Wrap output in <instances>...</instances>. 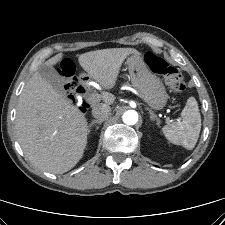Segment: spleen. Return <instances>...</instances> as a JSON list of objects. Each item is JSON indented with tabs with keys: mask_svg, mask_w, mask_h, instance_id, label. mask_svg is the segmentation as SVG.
Returning <instances> with one entry per match:
<instances>
[{
	"mask_svg": "<svg viewBox=\"0 0 225 225\" xmlns=\"http://www.w3.org/2000/svg\"><path fill=\"white\" fill-rule=\"evenodd\" d=\"M201 130V115L196 99L190 97L181 112V119L162 128L168 141L191 150L195 147Z\"/></svg>",
	"mask_w": 225,
	"mask_h": 225,
	"instance_id": "spleen-1",
	"label": "spleen"
}]
</instances>
